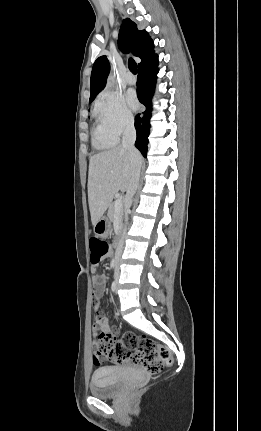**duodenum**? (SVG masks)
Here are the masks:
<instances>
[{
  "mask_svg": "<svg viewBox=\"0 0 261 431\" xmlns=\"http://www.w3.org/2000/svg\"><path fill=\"white\" fill-rule=\"evenodd\" d=\"M120 239H121V233L119 232L115 241V246H118Z\"/></svg>",
  "mask_w": 261,
  "mask_h": 431,
  "instance_id": "1",
  "label": "duodenum"
}]
</instances>
